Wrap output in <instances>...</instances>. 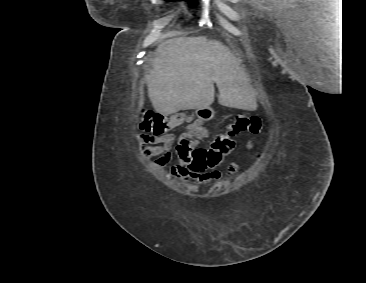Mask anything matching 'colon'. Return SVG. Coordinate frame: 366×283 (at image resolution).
Returning a JSON list of instances; mask_svg holds the SVG:
<instances>
[{
  "label": "colon",
  "instance_id": "5ec220e1",
  "mask_svg": "<svg viewBox=\"0 0 366 283\" xmlns=\"http://www.w3.org/2000/svg\"><path fill=\"white\" fill-rule=\"evenodd\" d=\"M189 124V131L183 134L175 146V154L181 166L191 171L201 172L214 167L221 160V153H229L235 148L234 138L242 133L259 134L263 130L260 117L239 114L229 120L224 132L216 135L209 148L197 147L199 139L207 135L198 120L191 115L174 114L162 115L152 110H142L139 118V128L156 136L172 129ZM218 149L220 152H217Z\"/></svg>",
  "mask_w": 366,
  "mask_h": 283
}]
</instances>
